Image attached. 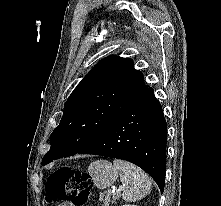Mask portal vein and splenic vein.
<instances>
[{
	"label": "portal vein and splenic vein",
	"instance_id": "obj_1",
	"mask_svg": "<svg viewBox=\"0 0 221 206\" xmlns=\"http://www.w3.org/2000/svg\"><path fill=\"white\" fill-rule=\"evenodd\" d=\"M120 190V189H119ZM112 193H115V189H109L108 190V194H112Z\"/></svg>",
	"mask_w": 221,
	"mask_h": 206
}]
</instances>
